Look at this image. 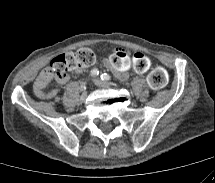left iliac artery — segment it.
<instances>
[{"label":"left iliac artery","mask_w":215,"mask_h":183,"mask_svg":"<svg viewBox=\"0 0 215 183\" xmlns=\"http://www.w3.org/2000/svg\"><path fill=\"white\" fill-rule=\"evenodd\" d=\"M101 79H102L103 81H109V80H111V76L108 75L107 73H103V74L101 75Z\"/></svg>","instance_id":"1"}]
</instances>
